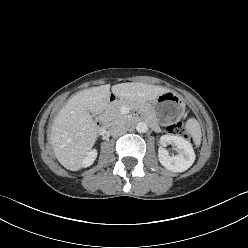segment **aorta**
<instances>
[{
    "label": "aorta",
    "instance_id": "obj_1",
    "mask_svg": "<svg viewBox=\"0 0 248 248\" xmlns=\"http://www.w3.org/2000/svg\"><path fill=\"white\" fill-rule=\"evenodd\" d=\"M136 130H137V132H139V133H145V132H147V130H148V125H147V123H146V122H143V121L137 123V125H136Z\"/></svg>",
    "mask_w": 248,
    "mask_h": 248
}]
</instances>
